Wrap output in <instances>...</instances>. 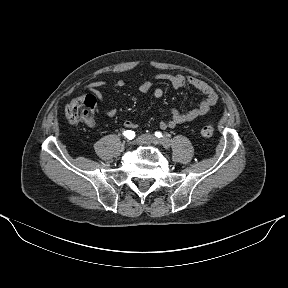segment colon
Masks as SVG:
<instances>
[{"label": "colon", "instance_id": "1", "mask_svg": "<svg viewBox=\"0 0 288 288\" xmlns=\"http://www.w3.org/2000/svg\"><path fill=\"white\" fill-rule=\"evenodd\" d=\"M97 100L93 95H84L73 99L65 108L67 121L76 125L93 121ZM214 125L208 124L200 129V135L209 138L214 133Z\"/></svg>", "mask_w": 288, "mask_h": 288}]
</instances>
